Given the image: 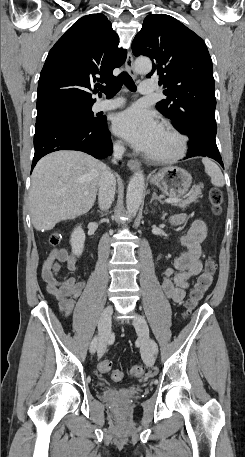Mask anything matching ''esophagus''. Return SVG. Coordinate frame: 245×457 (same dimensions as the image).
Instances as JSON below:
<instances>
[{
  "instance_id": "1",
  "label": "esophagus",
  "mask_w": 245,
  "mask_h": 457,
  "mask_svg": "<svg viewBox=\"0 0 245 457\" xmlns=\"http://www.w3.org/2000/svg\"><path fill=\"white\" fill-rule=\"evenodd\" d=\"M125 65L130 75H132L133 78H136L137 73L134 68V60L131 52H129L127 55ZM127 165L130 170H136L139 168V162L137 160H128Z\"/></svg>"
}]
</instances>
